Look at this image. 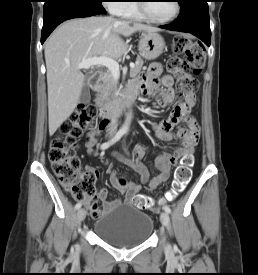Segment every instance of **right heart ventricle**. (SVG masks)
<instances>
[{"label": "right heart ventricle", "mask_w": 258, "mask_h": 275, "mask_svg": "<svg viewBox=\"0 0 258 275\" xmlns=\"http://www.w3.org/2000/svg\"><path fill=\"white\" fill-rule=\"evenodd\" d=\"M125 2L128 3L123 4L117 15L134 20H145V17L138 10V4L135 3L137 2L136 0H129Z\"/></svg>", "instance_id": "1"}]
</instances>
